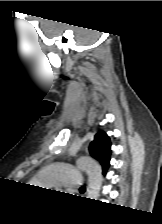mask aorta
Here are the masks:
<instances>
[{"instance_id":"obj_1","label":"aorta","mask_w":162,"mask_h":224,"mask_svg":"<svg viewBox=\"0 0 162 224\" xmlns=\"http://www.w3.org/2000/svg\"><path fill=\"white\" fill-rule=\"evenodd\" d=\"M77 166L84 170L88 175L87 198L97 200L102 187L101 166L89 157H80L77 159Z\"/></svg>"}]
</instances>
